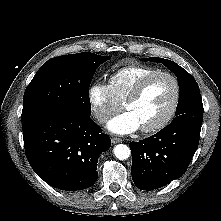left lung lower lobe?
I'll return each instance as SVG.
<instances>
[{
    "label": "left lung lower lobe",
    "mask_w": 221,
    "mask_h": 221,
    "mask_svg": "<svg viewBox=\"0 0 221 221\" xmlns=\"http://www.w3.org/2000/svg\"><path fill=\"white\" fill-rule=\"evenodd\" d=\"M202 121L170 123L158 133L129 144L132 178L141 190H154L181 177L198 147Z\"/></svg>",
    "instance_id": "1"
}]
</instances>
